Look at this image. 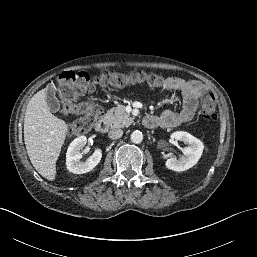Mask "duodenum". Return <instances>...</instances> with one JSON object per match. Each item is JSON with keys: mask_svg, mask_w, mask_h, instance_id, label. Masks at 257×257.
<instances>
[{"mask_svg": "<svg viewBox=\"0 0 257 257\" xmlns=\"http://www.w3.org/2000/svg\"><path fill=\"white\" fill-rule=\"evenodd\" d=\"M147 118V117H146ZM145 122L147 124H152L153 121L151 119H145ZM108 129V121L106 118H101L99 122L97 123L96 130L100 133L106 132Z\"/></svg>", "mask_w": 257, "mask_h": 257, "instance_id": "obj_1", "label": "duodenum"}]
</instances>
